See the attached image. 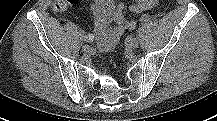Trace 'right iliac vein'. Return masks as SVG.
Here are the masks:
<instances>
[{
  "instance_id": "63e3f726",
  "label": "right iliac vein",
  "mask_w": 217,
  "mask_h": 121,
  "mask_svg": "<svg viewBox=\"0 0 217 121\" xmlns=\"http://www.w3.org/2000/svg\"><path fill=\"white\" fill-rule=\"evenodd\" d=\"M82 50L85 52V53H91L92 52V47L88 44H85L82 46Z\"/></svg>"
}]
</instances>
